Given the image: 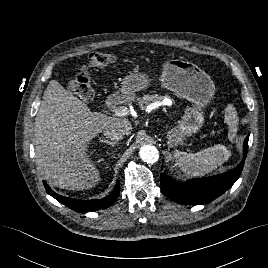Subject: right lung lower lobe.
<instances>
[{"label":"right lung lower lobe","mask_w":268,"mask_h":268,"mask_svg":"<svg viewBox=\"0 0 268 268\" xmlns=\"http://www.w3.org/2000/svg\"><path fill=\"white\" fill-rule=\"evenodd\" d=\"M43 183L49 195H51L52 197L57 199L60 203L66 205L67 207L76 212L96 211L103 209L107 206H110L116 201L120 193V184L119 182H117L113 192L110 195L106 196L105 198L83 201L58 195L50 189V187L47 185L46 182Z\"/></svg>","instance_id":"1"}]
</instances>
